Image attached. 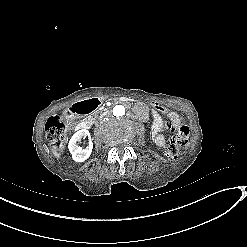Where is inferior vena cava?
<instances>
[{"label":"inferior vena cava","instance_id":"inferior-vena-cava-1","mask_svg":"<svg viewBox=\"0 0 247 247\" xmlns=\"http://www.w3.org/2000/svg\"><path fill=\"white\" fill-rule=\"evenodd\" d=\"M104 117V115H101L100 118Z\"/></svg>","mask_w":247,"mask_h":247}]
</instances>
